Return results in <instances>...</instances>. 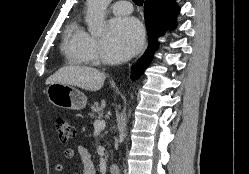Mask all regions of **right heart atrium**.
<instances>
[{
  "label": "right heart atrium",
  "mask_w": 249,
  "mask_h": 174,
  "mask_svg": "<svg viewBox=\"0 0 249 174\" xmlns=\"http://www.w3.org/2000/svg\"><path fill=\"white\" fill-rule=\"evenodd\" d=\"M85 51L91 61H98L100 58V44L92 36L88 35L85 41Z\"/></svg>",
  "instance_id": "obj_1"
}]
</instances>
